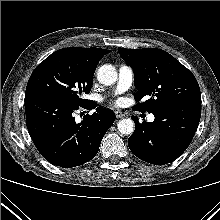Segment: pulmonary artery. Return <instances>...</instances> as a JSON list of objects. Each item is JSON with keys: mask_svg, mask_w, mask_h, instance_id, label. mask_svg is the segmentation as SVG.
<instances>
[{"mask_svg": "<svg viewBox=\"0 0 220 220\" xmlns=\"http://www.w3.org/2000/svg\"><path fill=\"white\" fill-rule=\"evenodd\" d=\"M134 79V73L131 67L127 65H121L118 69V80L116 85V92L117 93H123L127 91ZM155 119V116L153 114H150L147 118L149 122H153Z\"/></svg>", "mask_w": 220, "mask_h": 220, "instance_id": "e3ab8cb5", "label": "pulmonary artery"}]
</instances>
